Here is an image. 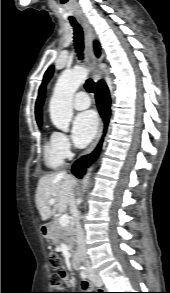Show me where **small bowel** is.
<instances>
[{
  "instance_id": "small-bowel-1",
  "label": "small bowel",
  "mask_w": 170,
  "mask_h": 293,
  "mask_svg": "<svg viewBox=\"0 0 170 293\" xmlns=\"http://www.w3.org/2000/svg\"><path fill=\"white\" fill-rule=\"evenodd\" d=\"M68 285L70 287H75L76 284H75V281L71 279V280L68 281ZM82 288H84V289H91V286L88 284V282L82 281ZM90 293H98V292L93 291V292H90Z\"/></svg>"
}]
</instances>
